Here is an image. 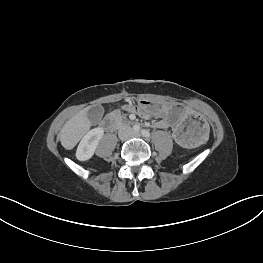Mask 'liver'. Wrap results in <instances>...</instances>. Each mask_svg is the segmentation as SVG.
I'll list each match as a JSON object with an SVG mask.
<instances>
[{"mask_svg": "<svg viewBox=\"0 0 263 263\" xmlns=\"http://www.w3.org/2000/svg\"><path fill=\"white\" fill-rule=\"evenodd\" d=\"M90 107L80 110L70 118L63 126L60 132L62 146L67 149H73L80 139L86 134L91 127V122L87 116Z\"/></svg>", "mask_w": 263, "mask_h": 263, "instance_id": "liver-1", "label": "liver"}]
</instances>
